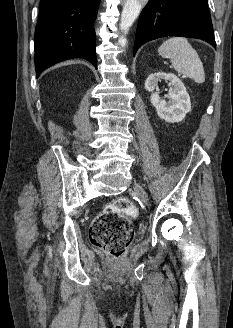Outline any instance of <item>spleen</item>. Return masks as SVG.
Returning <instances> with one entry per match:
<instances>
[{
  "label": "spleen",
  "mask_w": 233,
  "mask_h": 328,
  "mask_svg": "<svg viewBox=\"0 0 233 328\" xmlns=\"http://www.w3.org/2000/svg\"><path fill=\"white\" fill-rule=\"evenodd\" d=\"M162 57L170 58L174 69L184 74L196 83L205 82L203 64L196 50L184 37H172L158 48Z\"/></svg>",
  "instance_id": "1"
}]
</instances>
